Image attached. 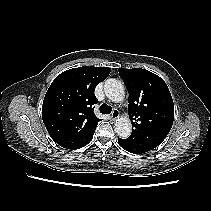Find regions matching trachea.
<instances>
[{"instance_id":"3493384b","label":"trachea","mask_w":211,"mask_h":211,"mask_svg":"<svg viewBox=\"0 0 211 211\" xmlns=\"http://www.w3.org/2000/svg\"><path fill=\"white\" fill-rule=\"evenodd\" d=\"M100 112L102 114H110L112 112V108L107 104H102L100 106Z\"/></svg>"}]
</instances>
